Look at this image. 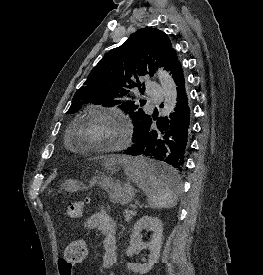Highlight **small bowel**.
Instances as JSON below:
<instances>
[{
	"mask_svg": "<svg viewBox=\"0 0 263 275\" xmlns=\"http://www.w3.org/2000/svg\"><path fill=\"white\" fill-rule=\"evenodd\" d=\"M83 227L89 230H98L102 235V253L99 263L104 269H110L117 260V224L109 213L101 208L91 214L83 223ZM59 267V266H58ZM60 275H72V272H62L59 267Z\"/></svg>",
	"mask_w": 263,
	"mask_h": 275,
	"instance_id": "small-bowel-1",
	"label": "small bowel"
}]
</instances>
